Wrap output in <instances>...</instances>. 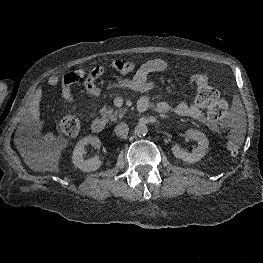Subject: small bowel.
<instances>
[{
	"instance_id": "obj_1",
	"label": "small bowel",
	"mask_w": 263,
	"mask_h": 263,
	"mask_svg": "<svg viewBox=\"0 0 263 263\" xmlns=\"http://www.w3.org/2000/svg\"><path fill=\"white\" fill-rule=\"evenodd\" d=\"M115 63H121L128 66L127 69L119 70L116 68ZM110 68L122 73H132L131 78H118L114 87L118 89H130L133 91L146 93L155 87V82L149 78L151 74L164 72L168 69V64L159 58H154L146 61L139 67H136L131 62H123L120 60L114 61L109 65ZM106 67L97 66L89 72L84 69H77L63 76L60 80L58 76L52 75L47 79V84L51 87L61 85L62 98L68 103H74L75 99L72 95V86L78 82H82L83 87L87 94L93 99H98L101 95V90L97 84V81L104 74ZM42 90H36L33 95L31 106H30V126L34 132L39 129V103L42 98ZM139 102L145 103L148 107L152 106V102L149 96L141 97ZM155 108L162 113H167L172 110V106L165 101L158 102ZM203 106L198 102L197 97L192 102H179L175 107L174 111L180 116H186L198 120L205 124L210 130L217 132L220 129L217 120L204 114L202 110ZM55 139L52 133L44 135V140L48 143L53 142Z\"/></svg>"
}]
</instances>
